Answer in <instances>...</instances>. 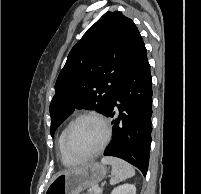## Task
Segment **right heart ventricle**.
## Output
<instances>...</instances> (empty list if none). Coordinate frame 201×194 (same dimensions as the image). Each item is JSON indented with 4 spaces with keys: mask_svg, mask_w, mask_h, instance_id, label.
Returning a JSON list of instances; mask_svg holds the SVG:
<instances>
[{
    "mask_svg": "<svg viewBox=\"0 0 201 194\" xmlns=\"http://www.w3.org/2000/svg\"><path fill=\"white\" fill-rule=\"evenodd\" d=\"M67 127V126H66ZM66 127L61 131L58 140H57V148L60 160L64 166L70 167L76 165L78 162L70 159L63 150V137Z\"/></svg>",
    "mask_w": 201,
    "mask_h": 194,
    "instance_id": "right-heart-ventricle-1",
    "label": "right heart ventricle"
}]
</instances>
